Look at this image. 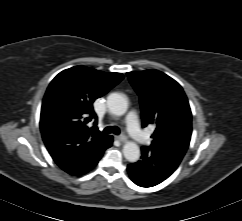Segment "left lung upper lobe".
Here are the masks:
<instances>
[{
	"instance_id": "obj_1",
	"label": "left lung upper lobe",
	"mask_w": 242,
	"mask_h": 221,
	"mask_svg": "<svg viewBox=\"0 0 242 221\" xmlns=\"http://www.w3.org/2000/svg\"><path fill=\"white\" fill-rule=\"evenodd\" d=\"M127 76L140 98L143 127L156 126L149 148L181 162L192 133V113L182 87L157 70L128 72Z\"/></svg>"
}]
</instances>
